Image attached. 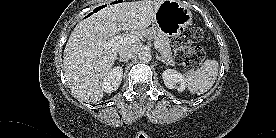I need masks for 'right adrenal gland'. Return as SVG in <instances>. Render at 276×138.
Returning a JSON list of instances; mask_svg holds the SVG:
<instances>
[{
  "mask_svg": "<svg viewBox=\"0 0 276 138\" xmlns=\"http://www.w3.org/2000/svg\"><path fill=\"white\" fill-rule=\"evenodd\" d=\"M120 62H128L127 60L121 59V58H116Z\"/></svg>",
  "mask_w": 276,
  "mask_h": 138,
  "instance_id": "1",
  "label": "right adrenal gland"
}]
</instances>
